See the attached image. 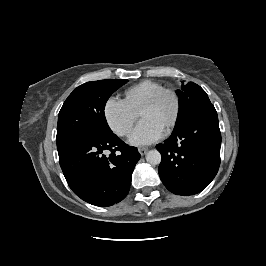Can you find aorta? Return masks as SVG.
I'll return each instance as SVG.
<instances>
[{"mask_svg":"<svg viewBox=\"0 0 266 266\" xmlns=\"http://www.w3.org/2000/svg\"><path fill=\"white\" fill-rule=\"evenodd\" d=\"M146 161L151 165H158L161 162V154L157 150H150L146 154Z\"/></svg>","mask_w":266,"mask_h":266,"instance_id":"762f6f07","label":"aorta"}]
</instances>
